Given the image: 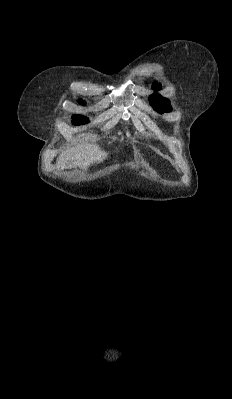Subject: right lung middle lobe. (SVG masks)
<instances>
[{"instance_id":"right-lung-middle-lobe-1","label":"right lung middle lobe","mask_w":232,"mask_h":399,"mask_svg":"<svg viewBox=\"0 0 232 399\" xmlns=\"http://www.w3.org/2000/svg\"><path fill=\"white\" fill-rule=\"evenodd\" d=\"M81 104H85L82 100H80ZM72 124L74 125H80V124H86L88 123V118L81 116V115H74L72 117Z\"/></svg>"}]
</instances>
